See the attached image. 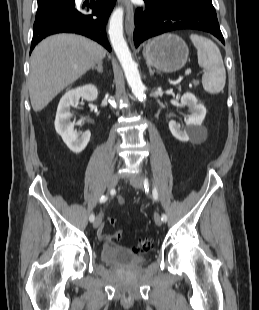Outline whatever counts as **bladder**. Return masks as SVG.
I'll use <instances>...</instances> for the list:
<instances>
[{"label": "bladder", "instance_id": "31cf9c89", "mask_svg": "<svg viewBox=\"0 0 259 310\" xmlns=\"http://www.w3.org/2000/svg\"><path fill=\"white\" fill-rule=\"evenodd\" d=\"M101 261L112 266L129 269L141 265L145 258L132 250L115 244H105L100 251Z\"/></svg>", "mask_w": 259, "mask_h": 310}]
</instances>
